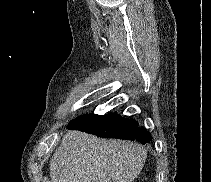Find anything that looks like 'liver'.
I'll use <instances>...</instances> for the list:
<instances>
[{
    "label": "liver",
    "mask_w": 211,
    "mask_h": 182,
    "mask_svg": "<svg viewBox=\"0 0 211 182\" xmlns=\"http://www.w3.org/2000/svg\"><path fill=\"white\" fill-rule=\"evenodd\" d=\"M147 157L138 143L68 131L50 161L52 182H132Z\"/></svg>",
    "instance_id": "obj_1"
}]
</instances>
